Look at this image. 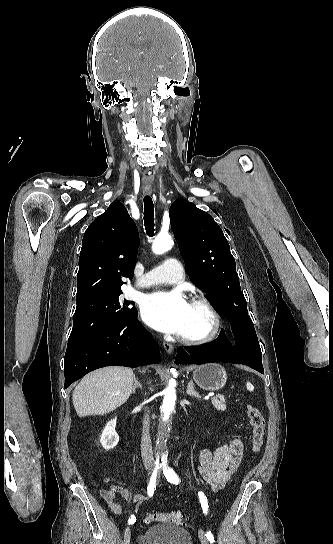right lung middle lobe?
I'll list each match as a JSON object with an SVG mask.
<instances>
[{"label":"right lung middle lobe","instance_id":"dd1d6c3e","mask_svg":"<svg viewBox=\"0 0 333 544\" xmlns=\"http://www.w3.org/2000/svg\"><path fill=\"white\" fill-rule=\"evenodd\" d=\"M121 294V290H115L76 299L77 307L68 344L119 325L136 314L134 302L122 299Z\"/></svg>","mask_w":333,"mask_h":544}]
</instances>
